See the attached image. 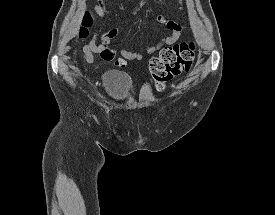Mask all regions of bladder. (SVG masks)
<instances>
[{
    "instance_id": "1",
    "label": "bladder",
    "mask_w": 275,
    "mask_h": 215,
    "mask_svg": "<svg viewBox=\"0 0 275 215\" xmlns=\"http://www.w3.org/2000/svg\"><path fill=\"white\" fill-rule=\"evenodd\" d=\"M102 85L116 99H125L134 90L133 81L130 76L115 70H108L103 73Z\"/></svg>"
}]
</instances>
